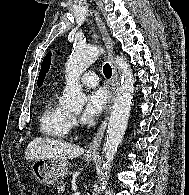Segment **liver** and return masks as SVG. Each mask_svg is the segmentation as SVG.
Instances as JSON below:
<instances>
[{"label": "liver", "mask_w": 189, "mask_h": 195, "mask_svg": "<svg viewBox=\"0 0 189 195\" xmlns=\"http://www.w3.org/2000/svg\"><path fill=\"white\" fill-rule=\"evenodd\" d=\"M84 149L61 140L50 138H35L27 146L25 158L38 160L42 158H54L59 160L74 159L81 156Z\"/></svg>", "instance_id": "1"}]
</instances>
